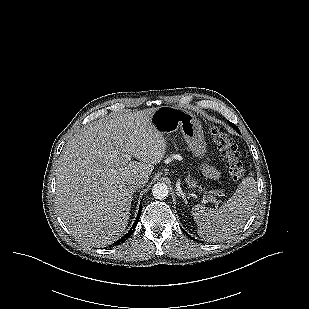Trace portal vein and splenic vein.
Masks as SVG:
<instances>
[{"label": "portal vein and splenic vein", "mask_w": 309, "mask_h": 309, "mask_svg": "<svg viewBox=\"0 0 309 309\" xmlns=\"http://www.w3.org/2000/svg\"><path fill=\"white\" fill-rule=\"evenodd\" d=\"M209 201L210 200H205V199L202 200V202H204V203H208ZM211 201H213L214 203H216V205H218V202L216 200H211Z\"/></svg>", "instance_id": "portal-vein-and-splenic-vein-1"}]
</instances>
